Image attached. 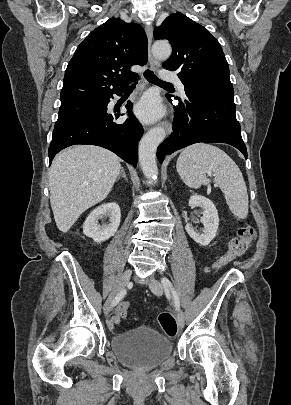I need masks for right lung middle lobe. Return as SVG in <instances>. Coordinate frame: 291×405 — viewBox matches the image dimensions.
<instances>
[{
    "label": "right lung middle lobe",
    "instance_id": "dd1d6c3e",
    "mask_svg": "<svg viewBox=\"0 0 291 405\" xmlns=\"http://www.w3.org/2000/svg\"><path fill=\"white\" fill-rule=\"evenodd\" d=\"M104 99L75 100L61 103L55 127L98 112L104 108Z\"/></svg>",
    "mask_w": 291,
    "mask_h": 405
}]
</instances>
